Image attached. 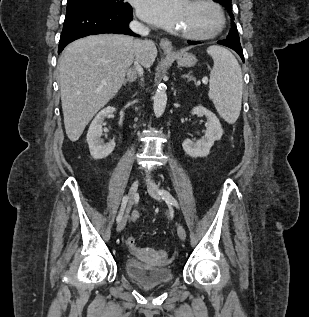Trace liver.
Instances as JSON below:
<instances>
[{
	"instance_id": "obj_1",
	"label": "liver",
	"mask_w": 309,
	"mask_h": 317,
	"mask_svg": "<svg viewBox=\"0 0 309 317\" xmlns=\"http://www.w3.org/2000/svg\"><path fill=\"white\" fill-rule=\"evenodd\" d=\"M156 56L155 44L143 41L141 64L151 67ZM134 58V40L117 34L87 36L64 49L59 60V81L65 130L72 142L118 93Z\"/></svg>"
}]
</instances>
